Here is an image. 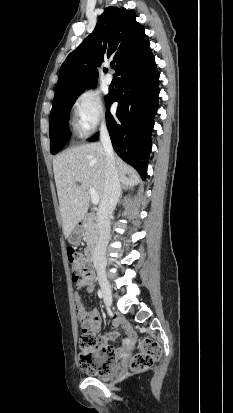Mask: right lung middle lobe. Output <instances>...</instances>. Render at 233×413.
<instances>
[{"instance_id":"dd1d6c3e","label":"right lung middle lobe","mask_w":233,"mask_h":413,"mask_svg":"<svg viewBox=\"0 0 233 413\" xmlns=\"http://www.w3.org/2000/svg\"><path fill=\"white\" fill-rule=\"evenodd\" d=\"M81 93L61 99L52 105L49 119L50 151L52 154L61 150L70 139L69 113Z\"/></svg>"}]
</instances>
